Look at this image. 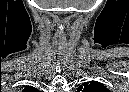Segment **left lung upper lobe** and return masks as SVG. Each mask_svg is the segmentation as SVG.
<instances>
[{"instance_id": "obj_1", "label": "left lung upper lobe", "mask_w": 129, "mask_h": 92, "mask_svg": "<svg viewBox=\"0 0 129 92\" xmlns=\"http://www.w3.org/2000/svg\"><path fill=\"white\" fill-rule=\"evenodd\" d=\"M77 91L81 92H109V90L101 83L97 81H91L83 84Z\"/></svg>"}]
</instances>
